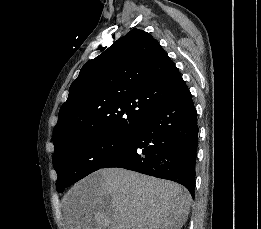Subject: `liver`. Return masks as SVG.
<instances>
[{"label": "liver", "instance_id": "obj_1", "mask_svg": "<svg viewBox=\"0 0 261 229\" xmlns=\"http://www.w3.org/2000/svg\"><path fill=\"white\" fill-rule=\"evenodd\" d=\"M191 195L173 181L126 169H100L63 199L67 229H181Z\"/></svg>", "mask_w": 261, "mask_h": 229}]
</instances>
